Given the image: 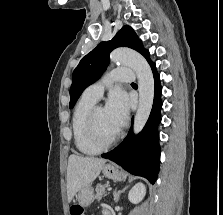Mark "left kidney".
Segmentation results:
<instances>
[{"instance_id": "5707ae66", "label": "left kidney", "mask_w": 223, "mask_h": 215, "mask_svg": "<svg viewBox=\"0 0 223 215\" xmlns=\"http://www.w3.org/2000/svg\"><path fill=\"white\" fill-rule=\"evenodd\" d=\"M145 193L146 187L144 183H136V185H133L132 189H130L128 199H130L132 203H139V201H142Z\"/></svg>"}]
</instances>
